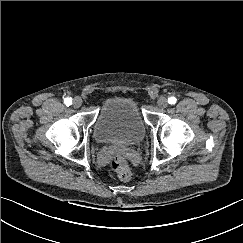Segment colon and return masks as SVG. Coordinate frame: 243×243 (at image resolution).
<instances>
[{
	"label": "colon",
	"instance_id": "colon-1",
	"mask_svg": "<svg viewBox=\"0 0 243 243\" xmlns=\"http://www.w3.org/2000/svg\"><path fill=\"white\" fill-rule=\"evenodd\" d=\"M109 166L121 180L129 181L132 179V171L127 161L120 154L114 153L110 157Z\"/></svg>",
	"mask_w": 243,
	"mask_h": 243
}]
</instances>
